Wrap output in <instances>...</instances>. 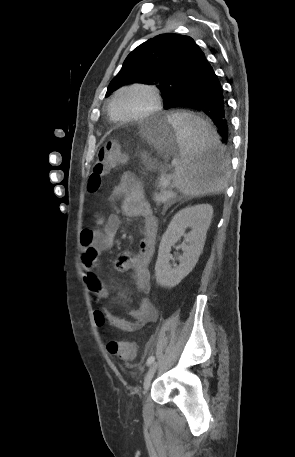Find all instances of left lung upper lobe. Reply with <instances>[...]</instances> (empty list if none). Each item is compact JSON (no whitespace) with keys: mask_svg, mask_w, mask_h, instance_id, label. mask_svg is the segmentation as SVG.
Wrapping results in <instances>:
<instances>
[{"mask_svg":"<svg viewBox=\"0 0 295 457\" xmlns=\"http://www.w3.org/2000/svg\"><path fill=\"white\" fill-rule=\"evenodd\" d=\"M200 52L189 36L173 33L155 36L127 56L106 95L128 83L156 85L167 105L186 87L188 72Z\"/></svg>","mask_w":295,"mask_h":457,"instance_id":"left-lung-upper-lobe-1","label":"left lung upper lobe"}]
</instances>
